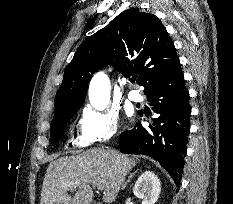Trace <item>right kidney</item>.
<instances>
[{"label": "right kidney", "instance_id": "right-kidney-1", "mask_svg": "<svg viewBox=\"0 0 233 204\" xmlns=\"http://www.w3.org/2000/svg\"><path fill=\"white\" fill-rule=\"evenodd\" d=\"M161 183L158 177L151 171H145L137 179L133 193L143 200V204H155L159 198Z\"/></svg>", "mask_w": 233, "mask_h": 204}]
</instances>
